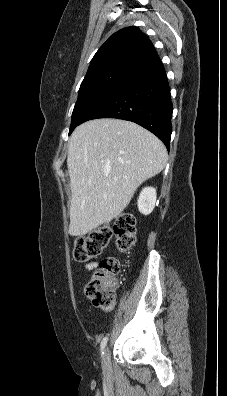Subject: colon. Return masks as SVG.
I'll return each instance as SVG.
<instances>
[{"instance_id": "obj_1", "label": "colon", "mask_w": 227, "mask_h": 396, "mask_svg": "<svg viewBox=\"0 0 227 396\" xmlns=\"http://www.w3.org/2000/svg\"><path fill=\"white\" fill-rule=\"evenodd\" d=\"M112 236L119 251L130 250L136 239L134 217L122 214L112 227L102 226L88 236L77 239L73 249L75 260L86 262L98 257L108 247ZM118 272L119 263L114 258H105L85 286L86 295L93 305L104 311L112 310L115 305V276Z\"/></svg>"}]
</instances>
